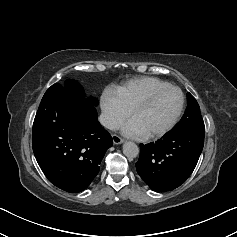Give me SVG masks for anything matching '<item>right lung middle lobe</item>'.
<instances>
[{
	"mask_svg": "<svg viewBox=\"0 0 237 237\" xmlns=\"http://www.w3.org/2000/svg\"><path fill=\"white\" fill-rule=\"evenodd\" d=\"M60 85V84H59ZM62 87H64L68 93L74 97L77 100H83L84 98V92L83 89L81 88V86L76 82V81H71L68 80L65 82L64 85H61ZM87 102V101H86ZM91 103L93 105H97L98 104V100L95 98L91 99Z\"/></svg>",
	"mask_w": 237,
	"mask_h": 237,
	"instance_id": "1",
	"label": "right lung middle lobe"
}]
</instances>
